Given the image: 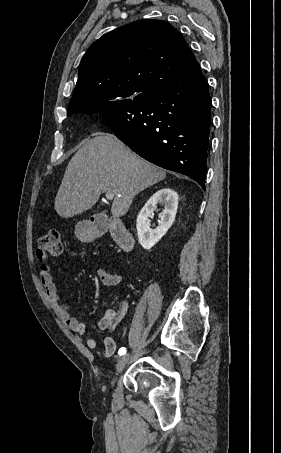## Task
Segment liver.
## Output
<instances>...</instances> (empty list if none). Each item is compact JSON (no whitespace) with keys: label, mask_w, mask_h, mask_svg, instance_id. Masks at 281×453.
I'll list each match as a JSON object with an SVG mask.
<instances>
[{"label":"liver","mask_w":281,"mask_h":453,"mask_svg":"<svg viewBox=\"0 0 281 453\" xmlns=\"http://www.w3.org/2000/svg\"><path fill=\"white\" fill-rule=\"evenodd\" d=\"M163 168L137 156L115 134L102 132L85 142L64 172L55 198L62 218L92 208L101 192H114L113 216L126 214L134 196L165 178Z\"/></svg>","instance_id":"liver-1"}]
</instances>
